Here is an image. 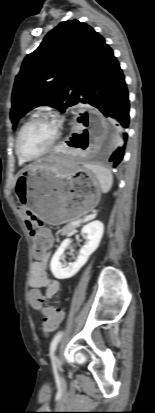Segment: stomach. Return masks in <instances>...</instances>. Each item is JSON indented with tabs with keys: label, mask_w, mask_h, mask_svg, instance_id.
<instances>
[{
	"label": "stomach",
	"mask_w": 155,
	"mask_h": 413,
	"mask_svg": "<svg viewBox=\"0 0 155 413\" xmlns=\"http://www.w3.org/2000/svg\"><path fill=\"white\" fill-rule=\"evenodd\" d=\"M15 194L21 205L51 225L78 220L97 206L101 186L85 167H63L48 159L23 168L17 176Z\"/></svg>",
	"instance_id": "stomach-1"
}]
</instances>
